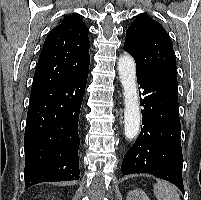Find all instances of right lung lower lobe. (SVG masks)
<instances>
[{
	"instance_id": "98d812e1",
	"label": "right lung lower lobe",
	"mask_w": 201,
	"mask_h": 200,
	"mask_svg": "<svg viewBox=\"0 0 201 200\" xmlns=\"http://www.w3.org/2000/svg\"><path fill=\"white\" fill-rule=\"evenodd\" d=\"M89 65L83 72L51 87L32 90L24 151L25 188L79 179V112Z\"/></svg>"
}]
</instances>
